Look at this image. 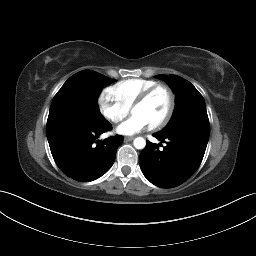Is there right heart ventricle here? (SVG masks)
Returning a JSON list of instances; mask_svg holds the SVG:
<instances>
[{"mask_svg":"<svg viewBox=\"0 0 256 256\" xmlns=\"http://www.w3.org/2000/svg\"><path fill=\"white\" fill-rule=\"evenodd\" d=\"M154 80L132 78L126 79L108 89V94L127 108L148 88L157 85Z\"/></svg>","mask_w":256,"mask_h":256,"instance_id":"obj_1","label":"right heart ventricle"}]
</instances>
